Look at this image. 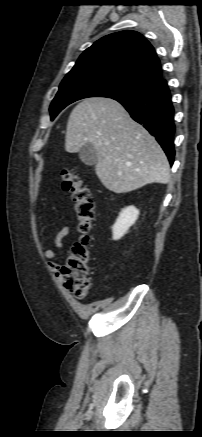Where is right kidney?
<instances>
[{"label": "right kidney", "instance_id": "ca27d5eb", "mask_svg": "<svg viewBox=\"0 0 202 437\" xmlns=\"http://www.w3.org/2000/svg\"><path fill=\"white\" fill-rule=\"evenodd\" d=\"M139 216V210L134 206L124 208L116 222L112 227V235L114 240L122 238L129 230V228L136 222Z\"/></svg>", "mask_w": 202, "mask_h": 437}]
</instances>
